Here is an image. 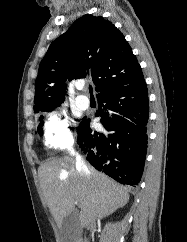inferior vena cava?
Masks as SVG:
<instances>
[{"instance_id":"obj_1","label":"inferior vena cava","mask_w":187,"mask_h":242,"mask_svg":"<svg viewBox=\"0 0 187 242\" xmlns=\"http://www.w3.org/2000/svg\"><path fill=\"white\" fill-rule=\"evenodd\" d=\"M72 155H75L76 157V168L78 170V172L89 178L91 176V173L87 167V165L85 164L84 160L82 159V157L78 154V153H75L74 151H72ZM85 242H88L87 239H85Z\"/></svg>"}]
</instances>
